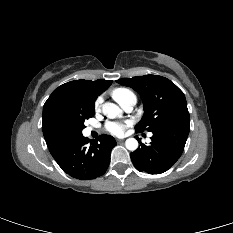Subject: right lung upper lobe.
Segmentation results:
<instances>
[{"mask_svg": "<svg viewBox=\"0 0 233 233\" xmlns=\"http://www.w3.org/2000/svg\"><path fill=\"white\" fill-rule=\"evenodd\" d=\"M112 84L111 80H74L56 88L43 106L42 129L50 153L67 144L56 133L59 119L72 112L94 107L99 94Z\"/></svg>", "mask_w": 233, "mask_h": 233, "instance_id": "cb5924a9", "label": "right lung upper lobe"}]
</instances>
